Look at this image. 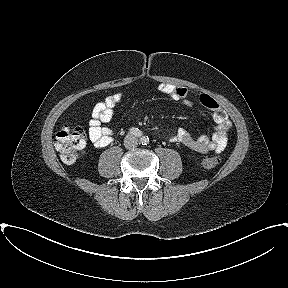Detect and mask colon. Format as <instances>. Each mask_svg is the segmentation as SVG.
Here are the masks:
<instances>
[{
  "instance_id": "colon-1",
  "label": "colon",
  "mask_w": 288,
  "mask_h": 288,
  "mask_svg": "<svg viewBox=\"0 0 288 288\" xmlns=\"http://www.w3.org/2000/svg\"><path fill=\"white\" fill-rule=\"evenodd\" d=\"M87 143L86 132L82 127L64 125L56 133L54 145L62 160L73 163ZM221 158L218 155L206 157L201 164L205 169H212L219 165Z\"/></svg>"
}]
</instances>
